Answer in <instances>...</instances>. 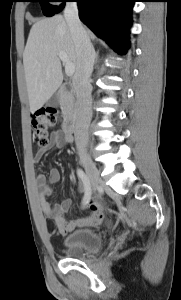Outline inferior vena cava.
I'll list each match as a JSON object with an SVG mask.
<instances>
[{"mask_svg": "<svg viewBox=\"0 0 181 300\" xmlns=\"http://www.w3.org/2000/svg\"><path fill=\"white\" fill-rule=\"evenodd\" d=\"M64 18L69 26L77 54V68L73 77L77 97L74 136L77 150L83 152L87 145L88 128L92 118L90 77L93 72L95 51L79 19L77 3H67Z\"/></svg>", "mask_w": 181, "mask_h": 300, "instance_id": "602c4592", "label": "inferior vena cava"}]
</instances>
